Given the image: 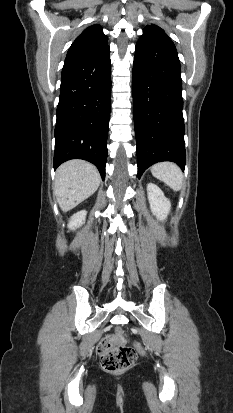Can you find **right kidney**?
Here are the masks:
<instances>
[{
  "label": "right kidney",
  "mask_w": 233,
  "mask_h": 413,
  "mask_svg": "<svg viewBox=\"0 0 233 413\" xmlns=\"http://www.w3.org/2000/svg\"><path fill=\"white\" fill-rule=\"evenodd\" d=\"M87 211L86 210H81L70 218L69 223H68V228L71 230H76L79 228L86 219Z\"/></svg>",
  "instance_id": "obj_1"
}]
</instances>
